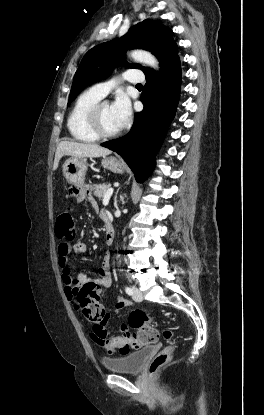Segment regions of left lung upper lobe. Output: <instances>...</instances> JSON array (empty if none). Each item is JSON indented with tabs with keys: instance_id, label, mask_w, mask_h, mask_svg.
<instances>
[{
	"instance_id": "obj_1",
	"label": "left lung upper lobe",
	"mask_w": 264,
	"mask_h": 415,
	"mask_svg": "<svg viewBox=\"0 0 264 415\" xmlns=\"http://www.w3.org/2000/svg\"><path fill=\"white\" fill-rule=\"evenodd\" d=\"M172 30L161 21L149 19L133 26L123 37L98 45L83 57L73 79L68 105L88 85L108 77L114 67L125 61L128 49L141 48L152 52L160 61L161 69L177 56V45ZM130 68L141 69L145 76L155 73L151 68L131 64ZM160 69V70H161Z\"/></svg>"
}]
</instances>
